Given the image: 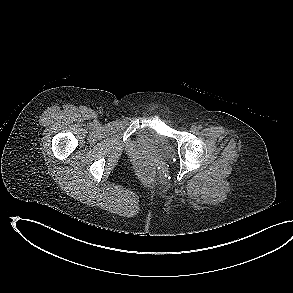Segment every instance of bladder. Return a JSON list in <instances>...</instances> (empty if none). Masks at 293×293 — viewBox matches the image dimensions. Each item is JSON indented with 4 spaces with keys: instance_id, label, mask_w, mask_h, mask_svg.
I'll list each match as a JSON object with an SVG mask.
<instances>
[{
    "instance_id": "1",
    "label": "bladder",
    "mask_w": 293,
    "mask_h": 293,
    "mask_svg": "<svg viewBox=\"0 0 293 293\" xmlns=\"http://www.w3.org/2000/svg\"><path fill=\"white\" fill-rule=\"evenodd\" d=\"M147 142L163 156H168L172 152V147L166 138L154 131L149 132Z\"/></svg>"
}]
</instances>
